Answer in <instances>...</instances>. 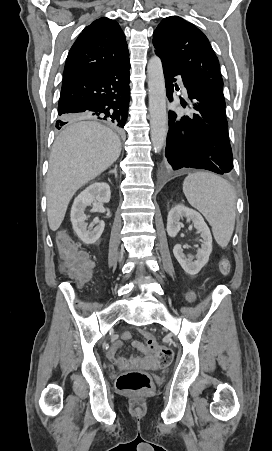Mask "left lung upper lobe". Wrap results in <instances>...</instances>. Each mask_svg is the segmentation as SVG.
<instances>
[{
  "label": "left lung upper lobe",
  "mask_w": 272,
  "mask_h": 451,
  "mask_svg": "<svg viewBox=\"0 0 272 451\" xmlns=\"http://www.w3.org/2000/svg\"><path fill=\"white\" fill-rule=\"evenodd\" d=\"M155 52L225 105L218 59L207 37L181 17L163 19L153 33Z\"/></svg>",
  "instance_id": "5c2ea615"
}]
</instances>
